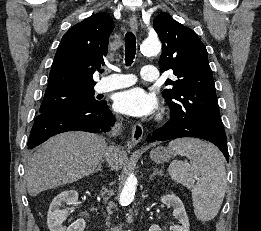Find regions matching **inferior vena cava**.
<instances>
[{"instance_id": "1", "label": "inferior vena cava", "mask_w": 261, "mask_h": 231, "mask_svg": "<svg viewBox=\"0 0 261 231\" xmlns=\"http://www.w3.org/2000/svg\"><path fill=\"white\" fill-rule=\"evenodd\" d=\"M111 151H112V150H111V148L109 147V148L107 149L106 153H105V157H106V158L109 157Z\"/></svg>"}]
</instances>
